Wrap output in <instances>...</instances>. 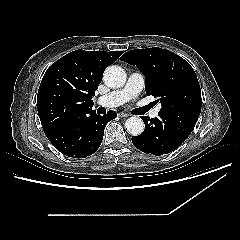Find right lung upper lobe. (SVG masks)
Returning a JSON list of instances; mask_svg holds the SVG:
<instances>
[{"instance_id":"cb5924a9","label":"right lung upper lobe","mask_w":240,"mask_h":240,"mask_svg":"<svg viewBox=\"0 0 240 240\" xmlns=\"http://www.w3.org/2000/svg\"><path fill=\"white\" fill-rule=\"evenodd\" d=\"M122 53L76 50L47 69L37 96V109L45 134L94 112L92 97L103 72Z\"/></svg>"}]
</instances>
